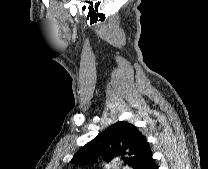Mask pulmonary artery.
<instances>
[{
  "label": "pulmonary artery",
  "mask_w": 208,
  "mask_h": 169,
  "mask_svg": "<svg viewBox=\"0 0 208 169\" xmlns=\"http://www.w3.org/2000/svg\"><path fill=\"white\" fill-rule=\"evenodd\" d=\"M125 169H130V167H125Z\"/></svg>",
  "instance_id": "e3ab8cb5"
}]
</instances>
